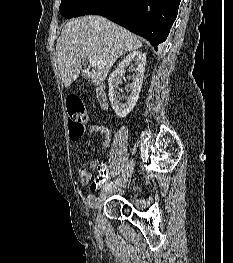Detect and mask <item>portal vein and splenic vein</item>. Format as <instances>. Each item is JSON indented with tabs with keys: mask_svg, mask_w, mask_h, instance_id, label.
<instances>
[{
	"mask_svg": "<svg viewBox=\"0 0 233 263\" xmlns=\"http://www.w3.org/2000/svg\"><path fill=\"white\" fill-rule=\"evenodd\" d=\"M88 61H89V64L93 67H96V66H101V63L96 59V58H93V57H89L88 58Z\"/></svg>",
	"mask_w": 233,
	"mask_h": 263,
	"instance_id": "1",
	"label": "portal vein and splenic vein"
}]
</instances>
